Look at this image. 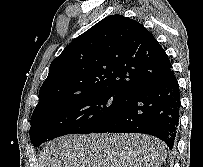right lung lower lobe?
I'll return each instance as SVG.
<instances>
[{"label":"right lung lower lobe","mask_w":203,"mask_h":167,"mask_svg":"<svg viewBox=\"0 0 203 167\" xmlns=\"http://www.w3.org/2000/svg\"><path fill=\"white\" fill-rule=\"evenodd\" d=\"M180 91L174 74L153 80L126 96L123 105L92 133H144L172 150L179 125Z\"/></svg>","instance_id":"obj_1"}]
</instances>
